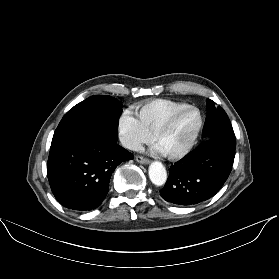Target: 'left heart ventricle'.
I'll return each mask as SVG.
<instances>
[{"mask_svg": "<svg viewBox=\"0 0 279 279\" xmlns=\"http://www.w3.org/2000/svg\"><path fill=\"white\" fill-rule=\"evenodd\" d=\"M199 122L198 113L194 110L183 112L174 122L171 129L161 138L158 146L166 154L181 151L190 141Z\"/></svg>", "mask_w": 279, "mask_h": 279, "instance_id": "obj_1", "label": "left heart ventricle"}]
</instances>
